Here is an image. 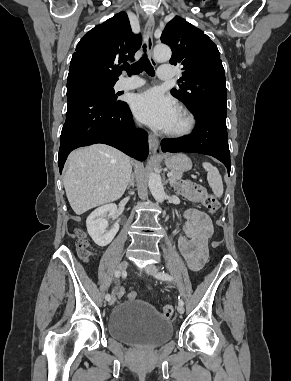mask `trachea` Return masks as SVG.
Wrapping results in <instances>:
<instances>
[{
  "mask_svg": "<svg viewBox=\"0 0 291 381\" xmlns=\"http://www.w3.org/2000/svg\"><path fill=\"white\" fill-rule=\"evenodd\" d=\"M145 47L146 46L144 45V49ZM121 69L127 71L128 75H136L141 73L142 71H145L149 76L152 77L155 75L153 66L151 65L146 55H143V57H141V59L138 62L132 65L126 64L122 66Z\"/></svg>",
  "mask_w": 291,
  "mask_h": 381,
  "instance_id": "3493384b",
  "label": "trachea"
}]
</instances>
